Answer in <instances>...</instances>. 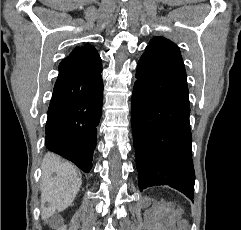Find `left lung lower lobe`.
I'll return each mask as SVG.
<instances>
[{
	"mask_svg": "<svg viewBox=\"0 0 241 230\" xmlns=\"http://www.w3.org/2000/svg\"><path fill=\"white\" fill-rule=\"evenodd\" d=\"M131 119L139 188L168 185L194 198L186 72L142 55Z\"/></svg>",
	"mask_w": 241,
	"mask_h": 230,
	"instance_id": "left-lung-lower-lobe-1",
	"label": "left lung lower lobe"
}]
</instances>
